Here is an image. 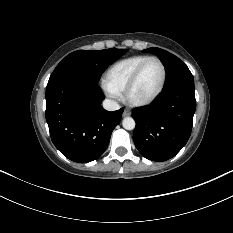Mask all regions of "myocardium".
Listing matches in <instances>:
<instances>
[{"mask_svg":"<svg viewBox=\"0 0 233 233\" xmlns=\"http://www.w3.org/2000/svg\"><path fill=\"white\" fill-rule=\"evenodd\" d=\"M153 60L157 61L162 68V80H161V84H160L158 90L148 99L141 100V101L132 100L130 98V93H131L133 87L135 86L136 82L138 81L146 64L150 61H153ZM166 81H167V68H166L165 63L159 57L149 56L138 65V67L135 69V71L131 75L130 79L128 80V82L125 86V89H124V99H125L127 104H129L130 106H133V107H144V106L150 105L162 94V92L165 88V85H166Z\"/></svg>","mask_w":233,"mask_h":233,"instance_id":"myocardium-1","label":"myocardium"}]
</instances>
